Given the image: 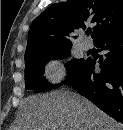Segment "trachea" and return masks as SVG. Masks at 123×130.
Segmentation results:
<instances>
[{"label":"trachea","mask_w":123,"mask_h":130,"mask_svg":"<svg viewBox=\"0 0 123 130\" xmlns=\"http://www.w3.org/2000/svg\"><path fill=\"white\" fill-rule=\"evenodd\" d=\"M91 33V31H87L86 34L89 35Z\"/></svg>","instance_id":"3493384b"}]
</instances>
